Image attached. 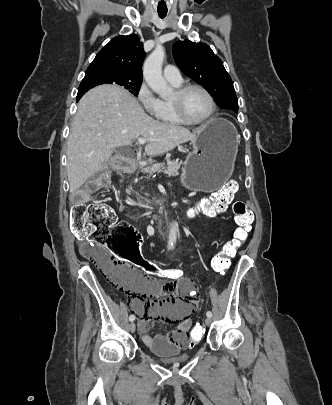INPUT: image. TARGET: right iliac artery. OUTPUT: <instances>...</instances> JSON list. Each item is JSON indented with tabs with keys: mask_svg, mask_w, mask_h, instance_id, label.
<instances>
[{
	"mask_svg": "<svg viewBox=\"0 0 332 405\" xmlns=\"http://www.w3.org/2000/svg\"><path fill=\"white\" fill-rule=\"evenodd\" d=\"M134 320H135V316H134V315H130V316H129V321L132 322V321H134Z\"/></svg>",
	"mask_w": 332,
	"mask_h": 405,
	"instance_id": "1",
	"label": "right iliac artery"
}]
</instances>
